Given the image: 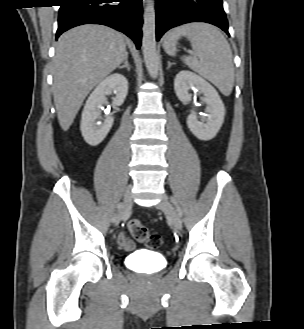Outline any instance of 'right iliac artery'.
Instances as JSON below:
<instances>
[{"mask_svg":"<svg viewBox=\"0 0 304 329\" xmlns=\"http://www.w3.org/2000/svg\"><path fill=\"white\" fill-rule=\"evenodd\" d=\"M123 203H119L117 206V212L112 216L111 221L114 223L116 221L117 215L122 208Z\"/></svg>","mask_w":304,"mask_h":329,"instance_id":"obj_1","label":"right iliac artery"}]
</instances>
